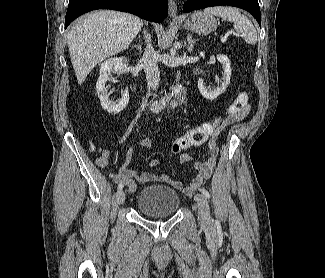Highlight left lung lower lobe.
Listing matches in <instances>:
<instances>
[{"label":"left lung lower lobe","instance_id":"left-lung-lower-lobe-1","mask_svg":"<svg viewBox=\"0 0 325 278\" xmlns=\"http://www.w3.org/2000/svg\"><path fill=\"white\" fill-rule=\"evenodd\" d=\"M228 5L242 8L250 12L261 27V13L258 0H191L184 4V12H191L205 7Z\"/></svg>","mask_w":325,"mask_h":278}]
</instances>
